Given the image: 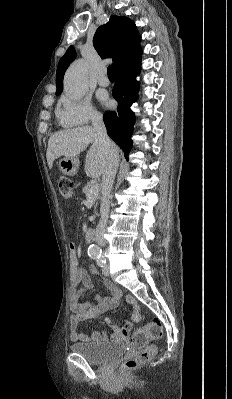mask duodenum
Masks as SVG:
<instances>
[{
    "instance_id": "1",
    "label": "duodenum",
    "mask_w": 232,
    "mask_h": 399,
    "mask_svg": "<svg viewBox=\"0 0 232 399\" xmlns=\"http://www.w3.org/2000/svg\"><path fill=\"white\" fill-rule=\"evenodd\" d=\"M96 232L93 228H88L85 232V238L87 242L91 243L95 240Z\"/></svg>"
}]
</instances>
